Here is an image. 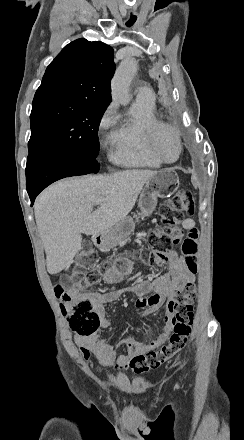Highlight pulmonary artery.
<instances>
[{
    "mask_svg": "<svg viewBox=\"0 0 244 440\" xmlns=\"http://www.w3.org/2000/svg\"><path fill=\"white\" fill-rule=\"evenodd\" d=\"M156 95L153 90H138L136 94L137 102H155Z\"/></svg>",
    "mask_w": 244,
    "mask_h": 440,
    "instance_id": "1",
    "label": "pulmonary artery"
}]
</instances>
